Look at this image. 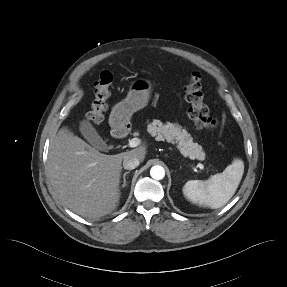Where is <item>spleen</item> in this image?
<instances>
[{"mask_svg": "<svg viewBox=\"0 0 287 287\" xmlns=\"http://www.w3.org/2000/svg\"><path fill=\"white\" fill-rule=\"evenodd\" d=\"M243 173L244 162L236 158L222 173L215 174L208 180L186 182L183 194L193 204L211 209L220 208L234 195Z\"/></svg>", "mask_w": 287, "mask_h": 287, "instance_id": "obj_1", "label": "spleen"}]
</instances>
